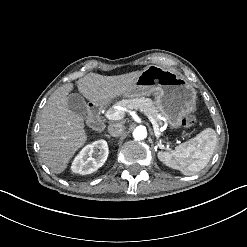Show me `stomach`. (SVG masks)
<instances>
[{
	"mask_svg": "<svg viewBox=\"0 0 247 247\" xmlns=\"http://www.w3.org/2000/svg\"><path fill=\"white\" fill-rule=\"evenodd\" d=\"M149 95H156L161 112L173 126H180L182 119L196 106V90L188 80L175 70L157 65L147 66L123 97L131 99ZM113 99L92 103L108 105Z\"/></svg>",
	"mask_w": 247,
	"mask_h": 247,
	"instance_id": "0dacf381",
	"label": "stomach"
}]
</instances>
